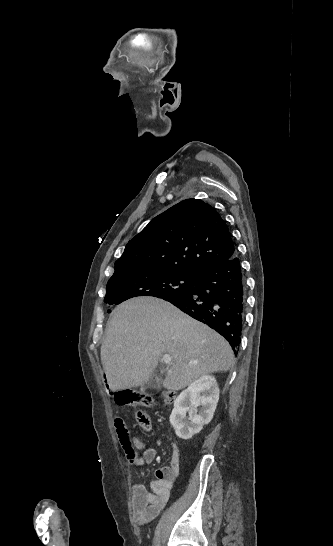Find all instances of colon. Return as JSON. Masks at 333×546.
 <instances>
[{
    "instance_id": "1",
    "label": "colon",
    "mask_w": 333,
    "mask_h": 546,
    "mask_svg": "<svg viewBox=\"0 0 333 546\" xmlns=\"http://www.w3.org/2000/svg\"><path fill=\"white\" fill-rule=\"evenodd\" d=\"M105 378L108 376L106 373L103 375ZM109 390L112 388L110 385L107 387ZM161 399L165 404H171L175 400V393L173 391H164L161 395ZM116 402L121 406L137 407V406H154L155 400L141 393H137L130 390L120 391L116 395ZM136 420L138 425L145 431L151 429V421L148 414L142 410L136 413ZM116 431L120 441V444L129 460L136 457L135 448L129 437V434L125 428L122 419H116Z\"/></svg>"
}]
</instances>
